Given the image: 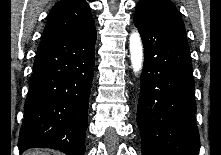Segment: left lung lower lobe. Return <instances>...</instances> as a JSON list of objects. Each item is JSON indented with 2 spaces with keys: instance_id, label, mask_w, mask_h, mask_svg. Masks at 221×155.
<instances>
[{
  "instance_id": "0a47b994",
  "label": "left lung lower lobe",
  "mask_w": 221,
  "mask_h": 155,
  "mask_svg": "<svg viewBox=\"0 0 221 155\" xmlns=\"http://www.w3.org/2000/svg\"><path fill=\"white\" fill-rule=\"evenodd\" d=\"M144 46L137 124L142 155H198L194 78L184 26L136 6Z\"/></svg>"
}]
</instances>
